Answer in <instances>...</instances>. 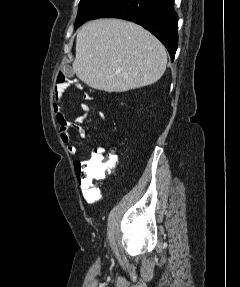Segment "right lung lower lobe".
Masks as SVG:
<instances>
[{"instance_id": "98d812e1", "label": "right lung lower lobe", "mask_w": 240, "mask_h": 287, "mask_svg": "<svg viewBox=\"0 0 240 287\" xmlns=\"http://www.w3.org/2000/svg\"><path fill=\"white\" fill-rule=\"evenodd\" d=\"M96 18H120L143 26L165 45L174 60L178 15L173 0H108L92 19Z\"/></svg>"}]
</instances>
